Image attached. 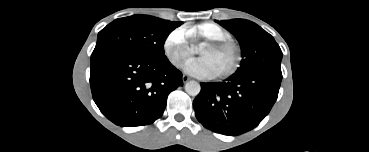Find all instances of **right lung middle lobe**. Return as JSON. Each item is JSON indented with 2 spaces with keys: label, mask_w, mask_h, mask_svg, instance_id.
Segmentation results:
<instances>
[{
  "label": "right lung middle lobe",
  "mask_w": 369,
  "mask_h": 152,
  "mask_svg": "<svg viewBox=\"0 0 369 152\" xmlns=\"http://www.w3.org/2000/svg\"><path fill=\"white\" fill-rule=\"evenodd\" d=\"M181 24L148 15L116 19L99 32L91 61L110 54L165 58V40Z\"/></svg>",
  "instance_id": "dd1d6c3e"
}]
</instances>
